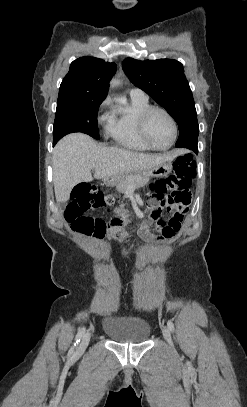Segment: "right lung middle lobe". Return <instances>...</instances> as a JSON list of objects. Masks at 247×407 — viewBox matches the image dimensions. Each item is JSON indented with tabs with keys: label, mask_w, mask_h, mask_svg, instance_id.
Listing matches in <instances>:
<instances>
[{
	"label": "right lung middle lobe",
	"mask_w": 247,
	"mask_h": 407,
	"mask_svg": "<svg viewBox=\"0 0 247 407\" xmlns=\"http://www.w3.org/2000/svg\"><path fill=\"white\" fill-rule=\"evenodd\" d=\"M102 100H58L53 127V144L64 135L83 132L99 139L97 113Z\"/></svg>",
	"instance_id": "obj_1"
}]
</instances>
